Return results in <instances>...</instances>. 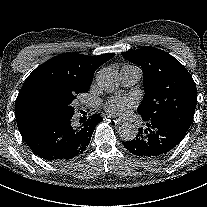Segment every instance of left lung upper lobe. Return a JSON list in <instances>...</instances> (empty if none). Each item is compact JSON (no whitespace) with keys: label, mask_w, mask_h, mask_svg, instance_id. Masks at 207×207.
<instances>
[{"label":"left lung upper lobe","mask_w":207,"mask_h":207,"mask_svg":"<svg viewBox=\"0 0 207 207\" xmlns=\"http://www.w3.org/2000/svg\"><path fill=\"white\" fill-rule=\"evenodd\" d=\"M142 67L145 95L137 111L144 121H167L186 133L196 104V84L187 69L167 52L144 47L121 53Z\"/></svg>","instance_id":"1"}]
</instances>
